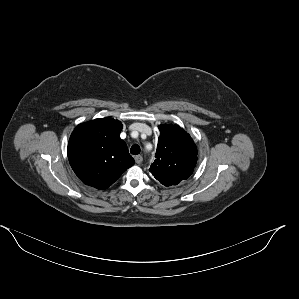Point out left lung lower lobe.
Returning <instances> with one entry per match:
<instances>
[{
    "label": "left lung lower lobe",
    "mask_w": 299,
    "mask_h": 299,
    "mask_svg": "<svg viewBox=\"0 0 299 299\" xmlns=\"http://www.w3.org/2000/svg\"><path fill=\"white\" fill-rule=\"evenodd\" d=\"M178 183H180V181H175V182H162V184L165 185V186L177 185Z\"/></svg>",
    "instance_id": "0a47b994"
}]
</instances>
